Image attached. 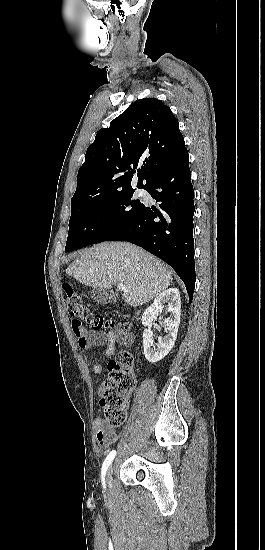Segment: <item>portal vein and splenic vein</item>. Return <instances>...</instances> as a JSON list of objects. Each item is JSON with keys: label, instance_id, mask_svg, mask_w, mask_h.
I'll return each instance as SVG.
<instances>
[{"label": "portal vein and splenic vein", "instance_id": "portal-vein-and-splenic-vein-1", "mask_svg": "<svg viewBox=\"0 0 265 550\" xmlns=\"http://www.w3.org/2000/svg\"><path fill=\"white\" fill-rule=\"evenodd\" d=\"M118 290L122 291V292H127V287L124 285V284H118L117 286Z\"/></svg>", "mask_w": 265, "mask_h": 550}]
</instances>
